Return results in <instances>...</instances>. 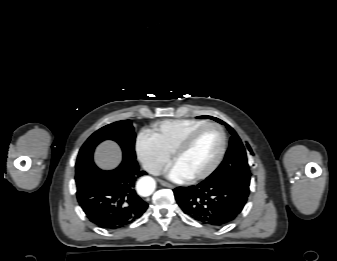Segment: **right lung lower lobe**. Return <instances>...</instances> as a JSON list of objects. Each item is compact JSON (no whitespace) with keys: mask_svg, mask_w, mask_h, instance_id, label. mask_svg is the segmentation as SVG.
<instances>
[{"mask_svg":"<svg viewBox=\"0 0 337 261\" xmlns=\"http://www.w3.org/2000/svg\"><path fill=\"white\" fill-rule=\"evenodd\" d=\"M147 174L135 158L124 155L118 168L99 169L92 161L76 168L77 199L91 222L115 230L138 219L148 204L135 191L136 180Z\"/></svg>","mask_w":337,"mask_h":261,"instance_id":"1","label":"right lung lower lobe"}]
</instances>
